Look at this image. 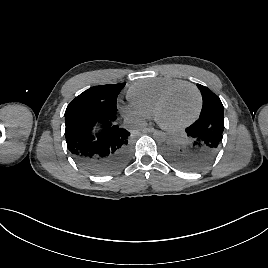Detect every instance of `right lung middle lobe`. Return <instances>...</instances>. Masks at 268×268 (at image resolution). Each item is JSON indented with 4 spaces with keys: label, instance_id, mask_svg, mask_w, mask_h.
Returning a JSON list of instances; mask_svg holds the SVG:
<instances>
[{
    "label": "right lung middle lobe",
    "instance_id": "dd1d6c3e",
    "mask_svg": "<svg viewBox=\"0 0 268 268\" xmlns=\"http://www.w3.org/2000/svg\"><path fill=\"white\" fill-rule=\"evenodd\" d=\"M124 86L125 83L91 87L72 100L66 110L85 104L109 111H117V96Z\"/></svg>",
    "mask_w": 268,
    "mask_h": 268
}]
</instances>
